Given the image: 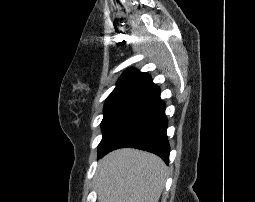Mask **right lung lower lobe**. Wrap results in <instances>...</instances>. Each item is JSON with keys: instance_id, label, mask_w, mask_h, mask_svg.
I'll list each match as a JSON object with an SVG mask.
<instances>
[{"instance_id": "1", "label": "right lung lower lobe", "mask_w": 255, "mask_h": 202, "mask_svg": "<svg viewBox=\"0 0 255 202\" xmlns=\"http://www.w3.org/2000/svg\"><path fill=\"white\" fill-rule=\"evenodd\" d=\"M165 103L162 100L136 113L112 138L104 155L112 150L131 147L152 152L169 162L170 147L167 140Z\"/></svg>"}]
</instances>
